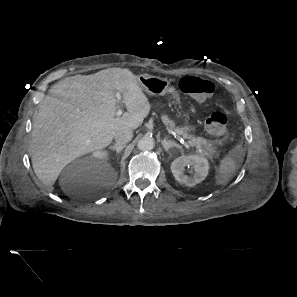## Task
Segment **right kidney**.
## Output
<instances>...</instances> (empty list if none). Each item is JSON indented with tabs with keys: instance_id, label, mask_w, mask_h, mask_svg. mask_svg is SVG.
Returning a JSON list of instances; mask_svg holds the SVG:
<instances>
[{
	"instance_id": "ca27d5eb",
	"label": "right kidney",
	"mask_w": 297,
	"mask_h": 297,
	"mask_svg": "<svg viewBox=\"0 0 297 297\" xmlns=\"http://www.w3.org/2000/svg\"><path fill=\"white\" fill-rule=\"evenodd\" d=\"M108 153L106 151H95L93 154H92V157L94 159H97V160H107L108 159Z\"/></svg>"
}]
</instances>
